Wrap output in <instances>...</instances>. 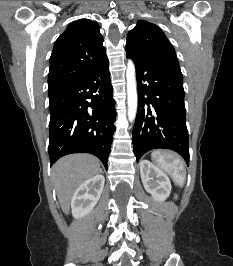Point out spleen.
<instances>
[{
	"mask_svg": "<svg viewBox=\"0 0 233 266\" xmlns=\"http://www.w3.org/2000/svg\"><path fill=\"white\" fill-rule=\"evenodd\" d=\"M151 157L154 163L172 177L175 184L183 187L186 179V170L182 160L176 154L154 151Z\"/></svg>",
	"mask_w": 233,
	"mask_h": 266,
	"instance_id": "3e777b00",
	"label": "spleen"
}]
</instances>
